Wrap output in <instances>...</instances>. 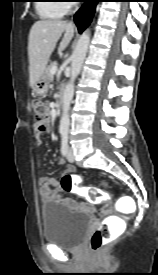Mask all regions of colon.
Segmentation results:
<instances>
[{
	"mask_svg": "<svg viewBox=\"0 0 158 275\" xmlns=\"http://www.w3.org/2000/svg\"><path fill=\"white\" fill-rule=\"evenodd\" d=\"M33 112L35 118V128L43 132L49 125V108L48 105L41 100L33 101ZM83 177L78 174L67 173L62 176L60 185L64 192H75L83 195L89 201L94 203L107 201L108 195L96 188L82 186ZM109 212L108 208H105L102 214L106 215ZM117 237V231L108 226L102 225L91 236L89 245L92 251H101L106 244L113 241Z\"/></svg>",
	"mask_w": 158,
	"mask_h": 275,
	"instance_id": "obj_1",
	"label": "colon"
}]
</instances>
